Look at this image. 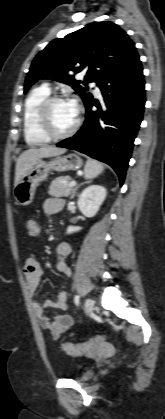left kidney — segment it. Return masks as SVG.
Segmentation results:
<instances>
[{"label":"left kidney","mask_w":165,"mask_h":419,"mask_svg":"<svg viewBox=\"0 0 165 419\" xmlns=\"http://www.w3.org/2000/svg\"><path fill=\"white\" fill-rule=\"evenodd\" d=\"M107 191L103 186L90 185L85 188L78 198V207L86 217H93L98 212L100 206L104 202ZM81 230L79 226H69L67 233H73Z\"/></svg>","instance_id":"1"}]
</instances>
